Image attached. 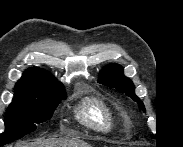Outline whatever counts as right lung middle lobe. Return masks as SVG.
Here are the masks:
<instances>
[{
  "instance_id": "obj_1",
  "label": "right lung middle lobe",
  "mask_w": 183,
  "mask_h": 147,
  "mask_svg": "<svg viewBox=\"0 0 183 147\" xmlns=\"http://www.w3.org/2000/svg\"><path fill=\"white\" fill-rule=\"evenodd\" d=\"M64 99V88L15 89L14 98L6 111L5 131L0 135V146L20 139L34 131L36 124L49 120Z\"/></svg>"
}]
</instances>
